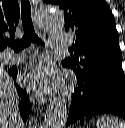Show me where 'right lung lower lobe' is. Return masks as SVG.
I'll return each instance as SVG.
<instances>
[{"label": "right lung lower lobe", "instance_id": "1", "mask_svg": "<svg viewBox=\"0 0 125 128\" xmlns=\"http://www.w3.org/2000/svg\"><path fill=\"white\" fill-rule=\"evenodd\" d=\"M8 73L10 76H12L14 83L16 85L17 91H18V95L20 97V101H19V110H20V114L22 116L23 121H26L28 118V115L31 111V104L29 101V97L27 95L26 90H23L22 88H20L17 84H16V75H17V68L16 66L10 67L8 68Z\"/></svg>", "mask_w": 125, "mask_h": 128}]
</instances>
